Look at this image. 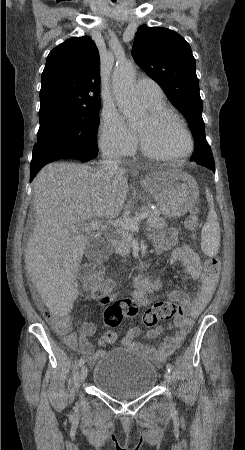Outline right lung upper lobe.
I'll return each mask as SVG.
<instances>
[{
	"instance_id": "1",
	"label": "right lung upper lobe",
	"mask_w": 245,
	"mask_h": 450,
	"mask_svg": "<svg viewBox=\"0 0 245 450\" xmlns=\"http://www.w3.org/2000/svg\"><path fill=\"white\" fill-rule=\"evenodd\" d=\"M40 109L54 104L95 107L100 104V59L94 41L73 37L54 48L42 73Z\"/></svg>"
}]
</instances>
